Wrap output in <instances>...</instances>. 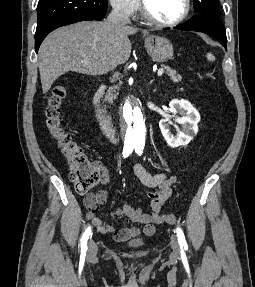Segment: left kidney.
<instances>
[{"label": "left kidney", "mask_w": 255, "mask_h": 287, "mask_svg": "<svg viewBox=\"0 0 255 287\" xmlns=\"http://www.w3.org/2000/svg\"><path fill=\"white\" fill-rule=\"evenodd\" d=\"M172 114H179V116H174V122L180 124V128L170 122V120H160L159 128L162 132L164 140L171 147H179V145H187L198 132V122H200V114L197 112L196 108H193L190 102L187 100H172L169 104ZM181 116V118H180ZM170 124L178 128L177 136L171 134Z\"/></svg>", "instance_id": "obj_1"}]
</instances>
